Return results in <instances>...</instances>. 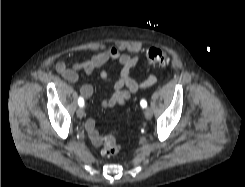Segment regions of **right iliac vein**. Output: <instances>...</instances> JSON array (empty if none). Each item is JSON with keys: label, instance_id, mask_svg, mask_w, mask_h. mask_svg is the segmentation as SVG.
Listing matches in <instances>:
<instances>
[{"label": "right iliac vein", "instance_id": "1", "mask_svg": "<svg viewBox=\"0 0 245 187\" xmlns=\"http://www.w3.org/2000/svg\"><path fill=\"white\" fill-rule=\"evenodd\" d=\"M84 115H85V110H84V108H82V107L78 108V110H77V116H78L79 118H82V117H84Z\"/></svg>", "mask_w": 245, "mask_h": 187}]
</instances>
